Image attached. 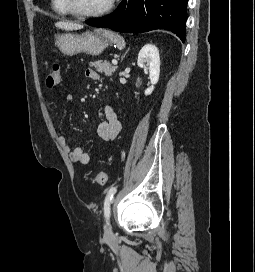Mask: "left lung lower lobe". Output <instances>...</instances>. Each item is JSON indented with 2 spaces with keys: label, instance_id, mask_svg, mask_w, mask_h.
Masks as SVG:
<instances>
[{
  "label": "left lung lower lobe",
  "instance_id": "left-lung-lower-lobe-1",
  "mask_svg": "<svg viewBox=\"0 0 255 272\" xmlns=\"http://www.w3.org/2000/svg\"><path fill=\"white\" fill-rule=\"evenodd\" d=\"M187 3L188 0H122L112 14L85 22L123 33L166 29L185 42Z\"/></svg>",
  "mask_w": 255,
  "mask_h": 272
}]
</instances>
